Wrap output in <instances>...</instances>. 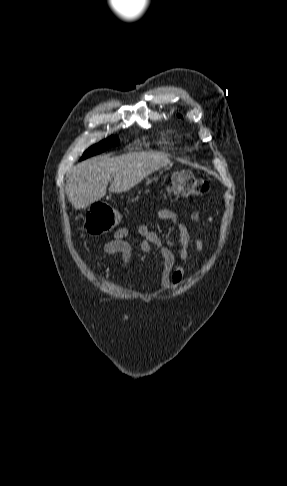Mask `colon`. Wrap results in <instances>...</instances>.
Masks as SVG:
<instances>
[{
    "label": "colon",
    "instance_id": "obj_1",
    "mask_svg": "<svg viewBox=\"0 0 287 486\" xmlns=\"http://www.w3.org/2000/svg\"><path fill=\"white\" fill-rule=\"evenodd\" d=\"M172 190L181 196H202L210 192V184L189 171H179L174 176ZM118 221V212L109 204L99 202L90 208L84 227L87 233L100 235L111 231Z\"/></svg>",
    "mask_w": 287,
    "mask_h": 486
}]
</instances>
